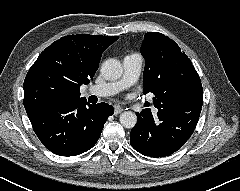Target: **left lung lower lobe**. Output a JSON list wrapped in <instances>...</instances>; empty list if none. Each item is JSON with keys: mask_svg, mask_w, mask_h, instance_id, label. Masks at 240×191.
Returning a JSON list of instances; mask_svg holds the SVG:
<instances>
[{"mask_svg": "<svg viewBox=\"0 0 240 191\" xmlns=\"http://www.w3.org/2000/svg\"><path fill=\"white\" fill-rule=\"evenodd\" d=\"M203 103L195 96L182 98L171 107L158 109L153 116L150 108L137 114V124L130 133V144L145 156L165 157L179 150L191 137Z\"/></svg>", "mask_w": 240, "mask_h": 191, "instance_id": "1", "label": "left lung lower lobe"}]
</instances>
